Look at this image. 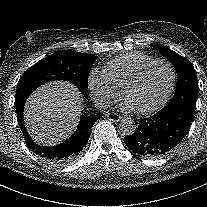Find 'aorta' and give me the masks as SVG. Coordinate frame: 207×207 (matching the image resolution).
I'll return each mask as SVG.
<instances>
[{
  "label": "aorta",
  "mask_w": 207,
  "mask_h": 207,
  "mask_svg": "<svg viewBox=\"0 0 207 207\" xmlns=\"http://www.w3.org/2000/svg\"><path fill=\"white\" fill-rule=\"evenodd\" d=\"M119 129L124 135H132L136 132L137 125L132 118H123L119 123Z\"/></svg>",
  "instance_id": "aorta-1"
}]
</instances>
